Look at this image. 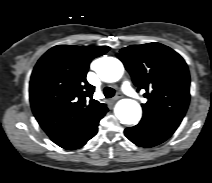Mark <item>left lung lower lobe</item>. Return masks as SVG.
Here are the masks:
<instances>
[{
    "mask_svg": "<svg viewBox=\"0 0 212 183\" xmlns=\"http://www.w3.org/2000/svg\"><path fill=\"white\" fill-rule=\"evenodd\" d=\"M177 129L176 126L143 117L134 127L126 128V137L141 147H153L167 140Z\"/></svg>",
    "mask_w": 212,
    "mask_h": 183,
    "instance_id": "left-lung-lower-lobe-1",
    "label": "left lung lower lobe"
}]
</instances>
